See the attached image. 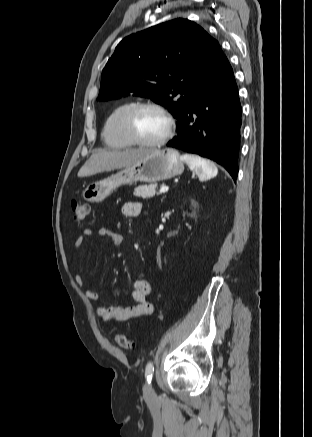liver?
Returning a JSON list of instances; mask_svg holds the SVG:
<instances>
[{
    "label": "liver",
    "instance_id": "liver-1",
    "mask_svg": "<svg viewBox=\"0 0 312 437\" xmlns=\"http://www.w3.org/2000/svg\"><path fill=\"white\" fill-rule=\"evenodd\" d=\"M150 150H98L93 153L78 172V177L92 176L101 172L124 168L143 158Z\"/></svg>",
    "mask_w": 312,
    "mask_h": 437
}]
</instances>
